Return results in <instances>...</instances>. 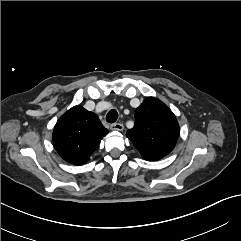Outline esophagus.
Returning <instances> with one entry per match:
<instances>
[{
	"label": "esophagus",
	"mask_w": 241,
	"mask_h": 241,
	"mask_svg": "<svg viewBox=\"0 0 241 241\" xmlns=\"http://www.w3.org/2000/svg\"><path fill=\"white\" fill-rule=\"evenodd\" d=\"M110 128L111 130L122 131L124 129V126L121 123H114V124H111Z\"/></svg>",
	"instance_id": "obj_1"
}]
</instances>
